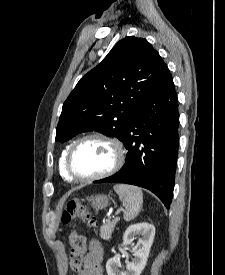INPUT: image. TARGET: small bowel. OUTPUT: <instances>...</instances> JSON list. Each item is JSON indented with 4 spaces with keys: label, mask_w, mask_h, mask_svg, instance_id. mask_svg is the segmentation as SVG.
I'll return each instance as SVG.
<instances>
[{
    "label": "small bowel",
    "mask_w": 225,
    "mask_h": 275,
    "mask_svg": "<svg viewBox=\"0 0 225 275\" xmlns=\"http://www.w3.org/2000/svg\"><path fill=\"white\" fill-rule=\"evenodd\" d=\"M102 250L96 241L90 243L89 251L83 259V266L77 275H104Z\"/></svg>",
    "instance_id": "c3829d8e"
}]
</instances>
